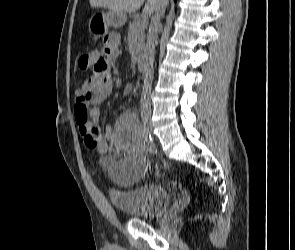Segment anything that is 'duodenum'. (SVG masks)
<instances>
[{
	"mask_svg": "<svg viewBox=\"0 0 295 250\" xmlns=\"http://www.w3.org/2000/svg\"><path fill=\"white\" fill-rule=\"evenodd\" d=\"M137 69L141 74H144L147 70L146 58L143 54H139L137 58Z\"/></svg>",
	"mask_w": 295,
	"mask_h": 250,
	"instance_id": "duodenum-1",
	"label": "duodenum"
}]
</instances>
